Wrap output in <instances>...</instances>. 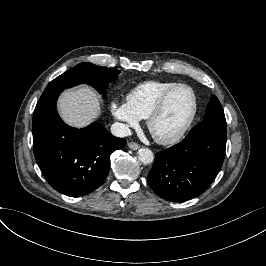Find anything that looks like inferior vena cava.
Masks as SVG:
<instances>
[{
	"instance_id": "obj_1",
	"label": "inferior vena cava",
	"mask_w": 266,
	"mask_h": 266,
	"mask_svg": "<svg viewBox=\"0 0 266 266\" xmlns=\"http://www.w3.org/2000/svg\"><path fill=\"white\" fill-rule=\"evenodd\" d=\"M112 134L117 137L131 136L130 128L123 123H114L111 127Z\"/></svg>"
}]
</instances>
